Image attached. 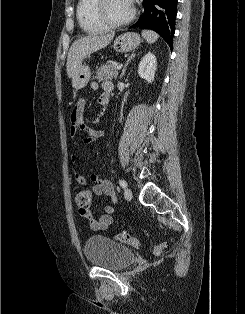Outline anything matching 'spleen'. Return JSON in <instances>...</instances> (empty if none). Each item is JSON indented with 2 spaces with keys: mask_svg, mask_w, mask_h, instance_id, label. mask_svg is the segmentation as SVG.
Returning <instances> with one entry per match:
<instances>
[{
  "mask_svg": "<svg viewBox=\"0 0 245 314\" xmlns=\"http://www.w3.org/2000/svg\"><path fill=\"white\" fill-rule=\"evenodd\" d=\"M142 36L148 43H154L159 38L158 34L151 30H143Z\"/></svg>",
  "mask_w": 245,
  "mask_h": 314,
  "instance_id": "1",
  "label": "spleen"
}]
</instances>
